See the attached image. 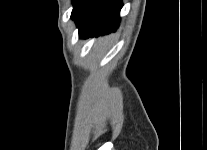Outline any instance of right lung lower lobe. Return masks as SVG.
Here are the masks:
<instances>
[{
	"mask_svg": "<svg viewBox=\"0 0 207 150\" xmlns=\"http://www.w3.org/2000/svg\"><path fill=\"white\" fill-rule=\"evenodd\" d=\"M71 18L79 28V37L115 31L120 23L121 0H75Z\"/></svg>",
	"mask_w": 207,
	"mask_h": 150,
	"instance_id": "right-lung-lower-lobe-1",
	"label": "right lung lower lobe"
}]
</instances>
